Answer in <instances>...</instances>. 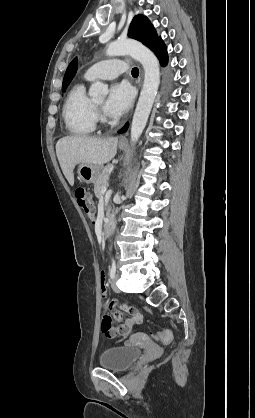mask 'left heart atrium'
I'll return each instance as SVG.
<instances>
[{
  "instance_id": "left-heart-atrium-1",
  "label": "left heart atrium",
  "mask_w": 255,
  "mask_h": 418,
  "mask_svg": "<svg viewBox=\"0 0 255 418\" xmlns=\"http://www.w3.org/2000/svg\"><path fill=\"white\" fill-rule=\"evenodd\" d=\"M133 102V92L127 83H115L110 87L104 104V111L110 117L117 118L124 114Z\"/></svg>"
}]
</instances>
